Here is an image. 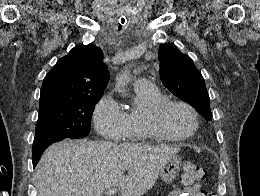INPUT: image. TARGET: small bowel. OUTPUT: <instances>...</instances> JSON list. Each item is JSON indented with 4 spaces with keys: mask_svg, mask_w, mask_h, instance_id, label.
Listing matches in <instances>:
<instances>
[{
    "mask_svg": "<svg viewBox=\"0 0 260 196\" xmlns=\"http://www.w3.org/2000/svg\"><path fill=\"white\" fill-rule=\"evenodd\" d=\"M207 193L200 183H194L185 188L174 189L169 196H207Z\"/></svg>",
    "mask_w": 260,
    "mask_h": 196,
    "instance_id": "c3829d8e",
    "label": "small bowel"
}]
</instances>
